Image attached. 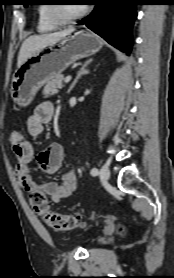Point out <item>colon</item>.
<instances>
[{"mask_svg": "<svg viewBox=\"0 0 174 278\" xmlns=\"http://www.w3.org/2000/svg\"><path fill=\"white\" fill-rule=\"evenodd\" d=\"M24 139L23 135L17 131L10 134L11 144H18ZM29 201L35 213L54 230L69 231L84 224L79 214H59L51 211L46 196L41 192L29 193Z\"/></svg>", "mask_w": 174, "mask_h": 278, "instance_id": "obj_1", "label": "colon"}]
</instances>
